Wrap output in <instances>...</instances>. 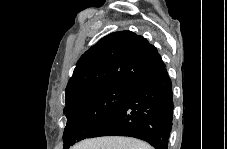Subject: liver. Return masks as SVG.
<instances>
[{
  "instance_id": "liver-1",
  "label": "liver",
  "mask_w": 227,
  "mask_h": 149,
  "mask_svg": "<svg viewBox=\"0 0 227 149\" xmlns=\"http://www.w3.org/2000/svg\"><path fill=\"white\" fill-rule=\"evenodd\" d=\"M75 149H152L144 141L130 138L107 136L82 141Z\"/></svg>"
}]
</instances>
